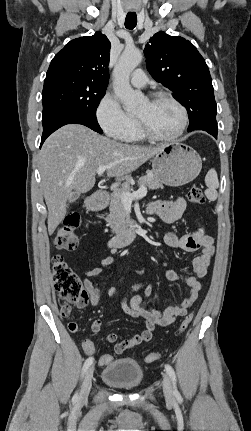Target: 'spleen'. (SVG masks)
<instances>
[{"instance_id": "1", "label": "spleen", "mask_w": 251, "mask_h": 431, "mask_svg": "<svg viewBox=\"0 0 251 431\" xmlns=\"http://www.w3.org/2000/svg\"><path fill=\"white\" fill-rule=\"evenodd\" d=\"M205 184L208 189L205 191V195L210 201H214L217 198L216 189L219 187V181L217 172L215 169H210L205 176Z\"/></svg>"}]
</instances>
